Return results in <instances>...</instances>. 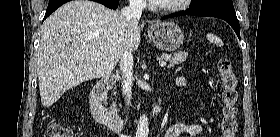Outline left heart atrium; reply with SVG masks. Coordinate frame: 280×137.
<instances>
[{
	"label": "left heart atrium",
	"instance_id": "left-heart-atrium-1",
	"mask_svg": "<svg viewBox=\"0 0 280 137\" xmlns=\"http://www.w3.org/2000/svg\"><path fill=\"white\" fill-rule=\"evenodd\" d=\"M161 0H152L153 3H159Z\"/></svg>",
	"mask_w": 280,
	"mask_h": 137
}]
</instances>
